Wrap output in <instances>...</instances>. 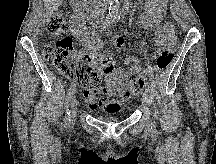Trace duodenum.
<instances>
[{
    "mask_svg": "<svg viewBox=\"0 0 216 164\" xmlns=\"http://www.w3.org/2000/svg\"><path fill=\"white\" fill-rule=\"evenodd\" d=\"M102 4H96L89 0H74L76 11L88 18H97Z\"/></svg>",
    "mask_w": 216,
    "mask_h": 164,
    "instance_id": "duodenum-1",
    "label": "duodenum"
}]
</instances>
